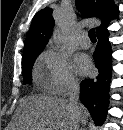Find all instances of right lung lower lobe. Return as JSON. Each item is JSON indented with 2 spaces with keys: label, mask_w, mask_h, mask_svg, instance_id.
<instances>
[{
  "label": "right lung lower lobe",
  "mask_w": 123,
  "mask_h": 130,
  "mask_svg": "<svg viewBox=\"0 0 123 130\" xmlns=\"http://www.w3.org/2000/svg\"><path fill=\"white\" fill-rule=\"evenodd\" d=\"M108 36L107 29L97 33L98 44L93 58L95 66L99 70L98 76L94 79L83 80L80 84V100L89 110L96 125H102L109 104L112 51Z\"/></svg>",
  "instance_id": "1"
}]
</instances>
